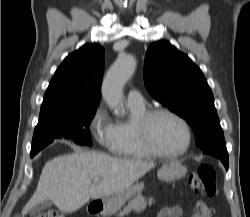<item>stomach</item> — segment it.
<instances>
[{
	"instance_id": "0dacf381",
	"label": "stomach",
	"mask_w": 250,
	"mask_h": 217,
	"mask_svg": "<svg viewBox=\"0 0 250 217\" xmlns=\"http://www.w3.org/2000/svg\"><path fill=\"white\" fill-rule=\"evenodd\" d=\"M187 173V168L180 162L171 161L164 164L158 171V178L162 181L172 182L181 179ZM144 184L136 183L122 192L115 195L104 197L101 200V213L104 215H112L120 210L127 201L132 199L137 194L141 193Z\"/></svg>"
}]
</instances>
